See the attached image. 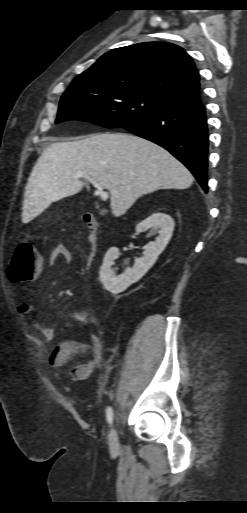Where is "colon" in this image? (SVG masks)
Here are the masks:
<instances>
[{"mask_svg":"<svg viewBox=\"0 0 247 513\" xmlns=\"http://www.w3.org/2000/svg\"><path fill=\"white\" fill-rule=\"evenodd\" d=\"M41 263L30 241L19 243L8 267V277L12 283L30 281L41 271Z\"/></svg>","mask_w":247,"mask_h":513,"instance_id":"colon-1","label":"colon"}]
</instances>
